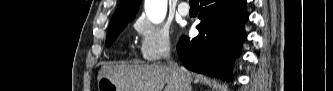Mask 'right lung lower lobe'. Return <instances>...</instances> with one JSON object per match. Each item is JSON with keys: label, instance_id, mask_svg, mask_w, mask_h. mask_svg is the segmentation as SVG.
<instances>
[{"label": "right lung lower lobe", "instance_id": "98d812e1", "mask_svg": "<svg viewBox=\"0 0 333 91\" xmlns=\"http://www.w3.org/2000/svg\"><path fill=\"white\" fill-rule=\"evenodd\" d=\"M199 35L182 36L177 52L192 71L230 80L229 67L244 39L246 0H200Z\"/></svg>", "mask_w": 333, "mask_h": 91}]
</instances>
